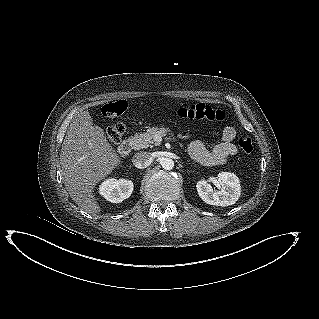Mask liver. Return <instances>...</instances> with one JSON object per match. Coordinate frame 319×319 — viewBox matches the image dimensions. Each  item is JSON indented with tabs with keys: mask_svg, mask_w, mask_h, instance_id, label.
Instances as JSON below:
<instances>
[{
	"mask_svg": "<svg viewBox=\"0 0 319 319\" xmlns=\"http://www.w3.org/2000/svg\"><path fill=\"white\" fill-rule=\"evenodd\" d=\"M120 161L103 129L93 125L88 110L72 119L62 143L61 173L72 200L88 213H100L93 190Z\"/></svg>",
	"mask_w": 319,
	"mask_h": 319,
	"instance_id": "1",
	"label": "liver"
}]
</instances>
